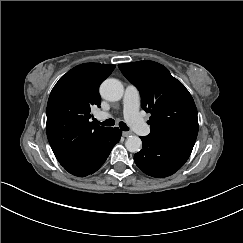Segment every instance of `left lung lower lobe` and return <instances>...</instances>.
<instances>
[{
    "instance_id": "0a47b994",
    "label": "left lung lower lobe",
    "mask_w": 243,
    "mask_h": 243,
    "mask_svg": "<svg viewBox=\"0 0 243 243\" xmlns=\"http://www.w3.org/2000/svg\"><path fill=\"white\" fill-rule=\"evenodd\" d=\"M143 148L134 155L136 165L147 175L164 178L179 170L193 147L153 136L140 137Z\"/></svg>"
}]
</instances>
